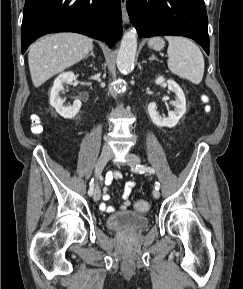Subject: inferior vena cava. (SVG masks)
<instances>
[{
  "mask_svg": "<svg viewBox=\"0 0 243 289\" xmlns=\"http://www.w3.org/2000/svg\"><path fill=\"white\" fill-rule=\"evenodd\" d=\"M103 150H104V151H107V152H110V151H111L110 147L107 146V145H104Z\"/></svg>",
  "mask_w": 243,
  "mask_h": 289,
  "instance_id": "obj_1",
  "label": "inferior vena cava"
}]
</instances>
